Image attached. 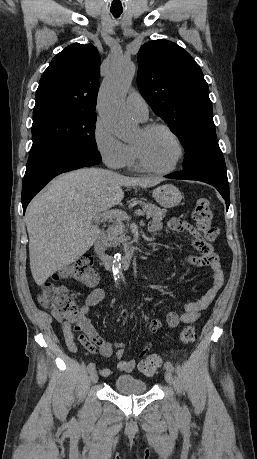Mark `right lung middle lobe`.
I'll return each mask as SVG.
<instances>
[{
	"mask_svg": "<svg viewBox=\"0 0 257 459\" xmlns=\"http://www.w3.org/2000/svg\"><path fill=\"white\" fill-rule=\"evenodd\" d=\"M96 113L69 108L33 112L30 153L67 147L101 157L95 141Z\"/></svg>",
	"mask_w": 257,
	"mask_h": 459,
	"instance_id": "dd1d6c3e",
	"label": "right lung middle lobe"
}]
</instances>
